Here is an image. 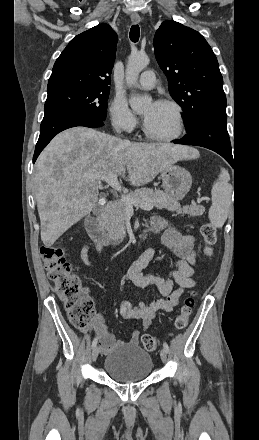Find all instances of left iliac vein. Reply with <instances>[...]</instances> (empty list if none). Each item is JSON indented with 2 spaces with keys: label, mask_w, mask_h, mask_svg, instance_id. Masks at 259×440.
<instances>
[{
  "label": "left iliac vein",
  "mask_w": 259,
  "mask_h": 440,
  "mask_svg": "<svg viewBox=\"0 0 259 440\" xmlns=\"http://www.w3.org/2000/svg\"><path fill=\"white\" fill-rule=\"evenodd\" d=\"M160 357L163 363L167 361V352L164 348L160 351Z\"/></svg>",
  "instance_id": "left-iliac-vein-1"
}]
</instances>
